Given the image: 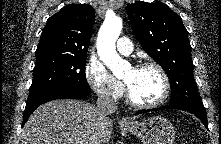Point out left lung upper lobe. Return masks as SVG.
<instances>
[{
  "label": "left lung upper lobe",
  "mask_w": 221,
  "mask_h": 144,
  "mask_svg": "<svg viewBox=\"0 0 221 144\" xmlns=\"http://www.w3.org/2000/svg\"><path fill=\"white\" fill-rule=\"evenodd\" d=\"M142 48L166 72L171 83L170 103L203 106L197 91L188 32L181 17L162 2H135L126 7Z\"/></svg>",
  "instance_id": "1"
}]
</instances>
